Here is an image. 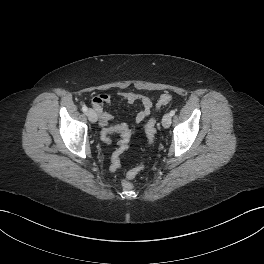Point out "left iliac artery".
Segmentation results:
<instances>
[{"mask_svg": "<svg viewBox=\"0 0 264 264\" xmlns=\"http://www.w3.org/2000/svg\"><path fill=\"white\" fill-rule=\"evenodd\" d=\"M170 115H171V116H174V115H175V110H171V111H170Z\"/></svg>", "mask_w": 264, "mask_h": 264, "instance_id": "44dca946", "label": "left iliac artery"}]
</instances>
